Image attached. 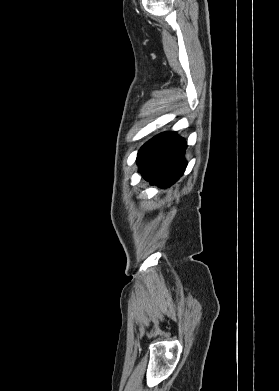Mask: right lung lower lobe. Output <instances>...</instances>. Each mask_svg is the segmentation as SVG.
<instances>
[{"instance_id":"obj_1","label":"right lung lower lobe","mask_w":279,"mask_h":391,"mask_svg":"<svg viewBox=\"0 0 279 391\" xmlns=\"http://www.w3.org/2000/svg\"><path fill=\"white\" fill-rule=\"evenodd\" d=\"M186 141L174 132H164L149 140L139 150V171L150 183L165 188L173 185L186 168Z\"/></svg>"}]
</instances>
